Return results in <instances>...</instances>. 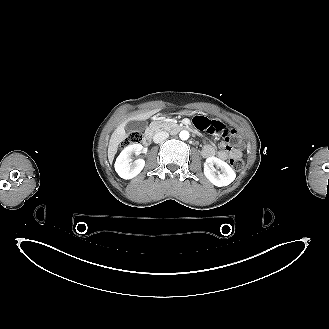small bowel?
Instances as JSON below:
<instances>
[{"mask_svg":"<svg viewBox=\"0 0 329 329\" xmlns=\"http://www.w3.org/2000/svg\"><path fill=\"white\" fill-rule=\"evenodd\" d=\"M191 124L193 128L203 132L205 135H219L224 141H227L233 132L232 127L227 125L225 121H219L218 119L210 120V118L204 115L193 117ZM203 155L207 158L216 157L224 161L228 158H239L241 151L225 146L217 151L213 144H207L203 148Z\"/></svg>","mask_w":329,"mask_h":329,"instance_id":"c3829d8e","label":"small bowel"}]
</instances>
